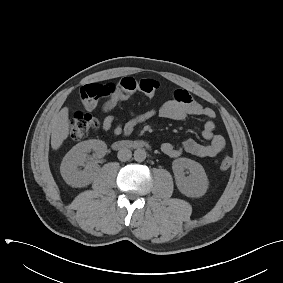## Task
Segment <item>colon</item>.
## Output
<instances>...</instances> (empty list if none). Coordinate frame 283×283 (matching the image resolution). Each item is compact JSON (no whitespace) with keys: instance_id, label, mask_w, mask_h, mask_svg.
Wrapping results in <instances>:
<instances>
[{"instance_id":"1","label":"colon","mask_w":283,"mask_h":283,"mask_svg":"<svg viewBox=\"0 0 283 283\" xmlns=\"http://www.w3.org/2000/svg\"><path fill=\"white\" fill-rule=\"evenodd\" d=\"M159 88L157 80L152 78L137 79L132 76H126L119 82L113 84L111 88L112 99L119 101L129 94L141 92L146 95H153ZM98 123L96 119L88 113L76 112L70 121V137L75 140L86 137L92 130L96 129ZM220 168L227 170L232 165L230 157H224L220 161Z\"/></svg>"}]
</instances>
